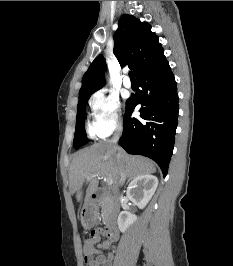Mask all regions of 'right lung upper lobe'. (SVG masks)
Returning <instances> with one entry per match:
<instances>
[{
    "label": "right lung upper lobe",
    "mask_w": 233,
    "mask_h": 266,
    "mask_svg": "<svg viewBox=\"0 0 233 266\" xmlns=\"http://www.w3.org/2000/svg\"><path fill=\"white\" fill-rule=\"evenodd\" d=\"M113 52L120 65L128 64L136 77L164 55L157 35L151 32V26L130 15H122L119 20ZM105 69V59L103 55H98L83 76L79 99L90 96L104 86Z\"/></svg>",
    "instance_id": "right-lung-upper-lobe-1"
}]
</instances>
